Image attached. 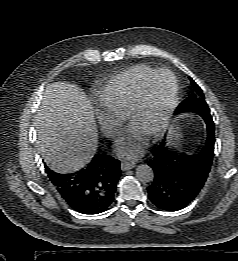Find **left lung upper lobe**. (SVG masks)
Wrapping results in <instances>:
<instances>
[{
    "mask_svg": "<svg viewBox=\"0 0 238 261\" xmlns=\"http://www.w3.org/2000/svg\"><path fill=\"white\" fill-rule=\"evenodd\" d=\"M193 84V92L187 97L184 101H182L177 109L175 110V114L183 113L187 111H194L196 113H202L200 109H203L205 113H209L208 105L204 100V94L200 87L190 78Z\"/></svg>",
    "mask_w": 238,
    "mask_h": 261,
    "instance_id": "obj_1",
    "label": "left lung upper lobe"
}]
</instances>
